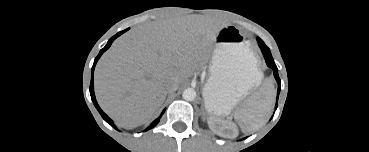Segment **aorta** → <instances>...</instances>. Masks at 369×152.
Wrapping results in <instances>:
<instances>
[{
    "label": "aorta",
    "instance_id": "1",
    "mask_svg": "<svg viewBox=\"0 0 369 152\" xmlns=\"http://www.w3.org/2000/svg\"><path fill=\"white\" fill-rule=\"evenodd\" d=\"M182 97L186 101H193L196 98V91L193 88H187L183 91Z\"/></svg>",
    "mask_w": 369,
    "mask_h": 152
}]
</instances>
